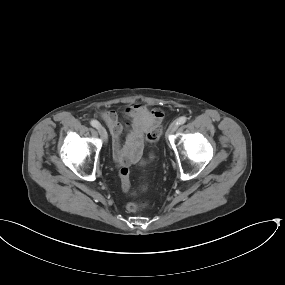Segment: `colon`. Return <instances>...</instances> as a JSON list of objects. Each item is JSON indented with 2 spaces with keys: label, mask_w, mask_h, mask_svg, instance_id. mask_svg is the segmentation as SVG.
Segmentation results:
<instances>
[{
  "label": "colon",
  "mask_w": 285,
  "mask_h": 285,
  "mask_svg": "<svg viewBox=\"0 0 285 285\" xmlns=\"http://www.w3.org/2000/svg\"><path fill=\"white\" fill-rule=\"evenodd\" d=\"M161 136V130L160 128L156 127L153 130L149 131L146 139L149 145H153ZM129 175L130 171L128 167H121L119 170V177L122 182V187L124 189H129ZM148 206V203L146 201H140V202H129L126 205V210L130 213H139L146 209Z\"/></svg>",
  "instance_id": "5ec220e1"
}]
</instances>
